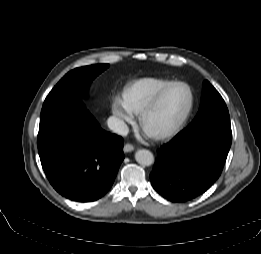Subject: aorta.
I'll return each mask as SVG.
<instances>
[{
    "label": "aorta",
    "instance_id": "762f6f07",
    "mask_svg": "<svg viewBox=\"0 0 261 254\" xmlns=\"http://www.w3.org/2000/svg\"><path fill=\"white\" fill-rule=\"evenodd\" d=\"M135 160L143 166H150L154 163V156L151 151L140 149L135 153Z\"/></svg>",
    "mask_w": 261,
    "mask_h": 254
}]
</instances>
